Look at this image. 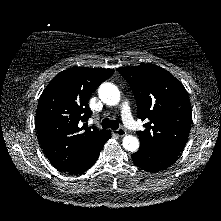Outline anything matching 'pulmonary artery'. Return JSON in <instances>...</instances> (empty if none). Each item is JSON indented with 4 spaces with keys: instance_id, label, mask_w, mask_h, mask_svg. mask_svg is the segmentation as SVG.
<instances>
[{
    "instance_id": "pulmonary-artery-1",
    "label": "pulmonary artery",
    "mask_w": 221,
    "mask_h": 221,
    "mask_svg": "<svg viewBox=\"0 0 221 221\" xmlns=\"http://www.w3.org/2000/svg\"><path fill=\"white\" fill-rule=\"evenodd\" d=\"M121 114L123 122L126 125V127H128L131 130L138 129V124L135 122V120L132 117L130 106L127 101L122 102Z\"/></svg>"
}]
</instances>
